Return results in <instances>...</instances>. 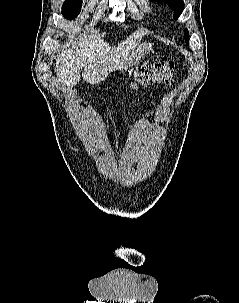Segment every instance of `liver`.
I'll list each match as a JSON object with an SVG mask.
<instances>
[{
    "label": "liver",
    "instance_id": "6515ba94",
    "mask_svg": "<svg viewBox=\"0 0 239 303\" xmlns=\"http://www.w3.org/2000/svg\"><path fill=\"white\" fill-rule=\"evenodd\" d=\"M144 34L143 31H135L117 47L109 46L100 34L85 36L58 56L55 63L58 81L70 89L79 82L80 71L88 83L104 81L110 72L124 67L127 57L138 47Z\"/></svg>",
    "mask_w": 239,
    "mask_h": 303
}]
</instances>
